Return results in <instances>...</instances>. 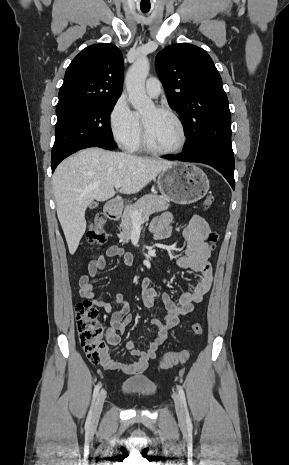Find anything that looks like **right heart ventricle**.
I'll list each match as a JSON object with an SVG mask.
<instances>
[{"label":"right heart ventricle","mask_w":289,"mask_h":465,"mask_svg":"<svg viewBox=\"0 0 289 465\" xmlns=\"http://www.w3.org/2000/svg\"><path fill=\"white\" fill-rule=\"evenodd\" d=\"M126 148L131 152H137L142 150L141 144V129L140 132L134 137V139L126 146Z\"/></svg>","instance_id":"right-heart-ventricle-1"}]
</instances>
